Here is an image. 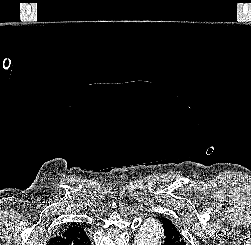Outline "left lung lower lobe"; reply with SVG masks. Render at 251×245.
Masks as SVG:
<instances>
[{"mask_svg":"<svg viewBox=\"0 0 251 245\" xmlns=\"http://www.w3.org/2000/svg\"><path fill=\"white\" fill-rule=\"evenodd\" d=\"M162 228V245H186L176 226L167 218H159Z\"/></svg>","mask_w":251,"mask_h":245,"instance_id":"obj_1","label":"left lung lower lobe"}]
</instances>
